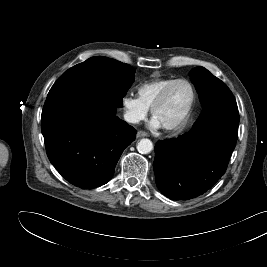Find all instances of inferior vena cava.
I'll return each instance as SVG.
<instances>
[{"label": "inferior vena cava", "instance_id": "602c4592", "mask_svg": "<svg viewBox=\"0 0 267 267\" xmlns=\"http://www.w3.org/2000/svg\"><path fill=\"white\" fill-rule=\"evenodd\" d=\"M124 119L128 123H138L139 118L131 111H126L124 114Z\"/></svg>", "mask_w": 267, "mask_h": 267}]
</instances>
